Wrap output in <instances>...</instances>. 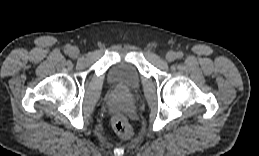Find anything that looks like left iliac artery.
<instances>
[{
    "label": "left iliac artery",
    "mask_w": 259,
    "mask_h": 156,
    "mask_svg": "<svg viewBox=\"0 0 259 156\" xmlns=\"http://www.w3.org/2000/svg\"><path fill=\"white\" fill-rule=\"evenodd\" d=\"M183 57V53L182 52H177V58L181 59Z\"/></svg>",
    "instance_id": "left-iliac-artery-1"
}]
</instances>
